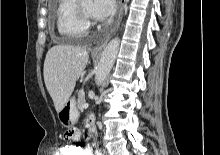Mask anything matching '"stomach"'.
<instances>
[{
  "label": "stomach",
  "instance_id": "1",
  "mask_svg": "<svg viewBox=\"0 0 220 155\" xmlns=\"http://www.w3.org/2000/svg\"><path fill=\"white\" fill-rule=\"evenodd\" d=\"M79 117V112L75 106V99L66 102L63 108L58 112V119L63 126L74 125Z\"/></svg>",
  "mask_w": 220,
  "mask_h": 155
}]
</instances>
